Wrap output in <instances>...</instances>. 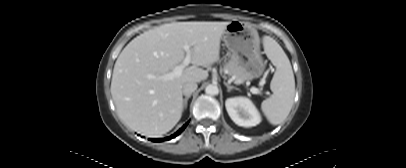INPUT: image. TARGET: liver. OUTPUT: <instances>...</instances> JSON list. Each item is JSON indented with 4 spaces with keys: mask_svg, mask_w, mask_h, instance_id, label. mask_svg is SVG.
<instances>
[{
    "mask_svg": "<svg viewBox=\"0 0 406 168\" xmlns=\"http://www.w3.org/2000/svg\"><path fill=\"white\" fill-rule=\"evenodd\" d=\"M229 22H174L134 38L118 56L112 74L111 95L121 121L148 137H160L181 119L182 87L201 82L218 61L222 35ZM190 45L192 65L179 77L163 76L185 58Z\"/></svg>",
    "mask_w": 406,
    "mask_h": 168,
    "instance_id": "6515ba94",
    "label": "liver"
}]
</instances>
